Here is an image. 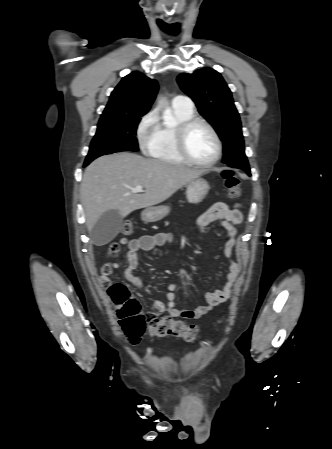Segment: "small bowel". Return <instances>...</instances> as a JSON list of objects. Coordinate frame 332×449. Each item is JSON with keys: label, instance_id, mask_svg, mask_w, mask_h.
<instances>
[{"label": "small bowel", "instance_id": "c3829d8e", "mask_svg": "<svg viewBox=\"0 0 332 449\" xmlns=\"http://www.w3.org/2000/svg\"><path fill=\"white\" fill-rule=\"evenodd\" d=\"M243 214L238 207H229L224 202H217L211 205L197 220V226L200 232L213 222H220L227 233V240L224 244V255L229 259V270L226 275V282L222 288L209 291L205 294V304L193 310L177 309L174 307L175 291L177 283H169L165 301L155 300L151 305L148 314L149 319H155L162 313H169L175 317L185 319H198L210 313L215 307L225 302L232 293V287L237 281L241 271V266L233 259V252L236 246V237L238 235L237 226L242 222ZM173 237L169 233H158L155 235L141 236L136 239H121V243L127 245L128 251L126 259L128 266L125 270V278L136 288L143 289L142 280L134 275V271L139 265L138 252L140 250L151 251L156 254L158 249L168 243H171ZM119 268L117 263H105L101 268V283L108 285L110 275Z\"/></svg>", "mask_w": 332, "mask_h": 449}]
</instances>
